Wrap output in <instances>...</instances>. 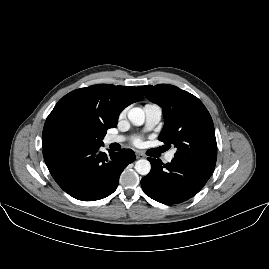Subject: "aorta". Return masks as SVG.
<instances>
[{"instance_id":"aorta-1","label":"aorta","mask_w":269,"mask_h":269,"mask_svg":"<svg viewBox=\"0 0 269 269\" xmlns=\"http://www.w3.org/2000/svg\"><path fill=\"white\" fill-rule=\"evenodd\" d=\"M128 119L135 126H141L145 122V113L142 108L134 107L128 112ZM135 170L140 175H147L151 170V164L146 159H140L135 163Z\"/></svg>"}]
</instances>
